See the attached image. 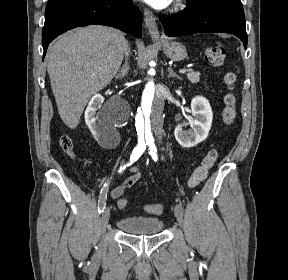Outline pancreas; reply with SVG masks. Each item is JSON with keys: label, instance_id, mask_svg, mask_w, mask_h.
<instances>
[{"label": "pancreas", "instance_id": "cf45deb5", "mask_svg": "<svg viewBox=\"0 0 288 280\" xmlns=\"http://www.w3.org/2000/svg\"><path fill=\"white\" fill-rule=\"evenodd\" d=\"M187 79L192 83H198L200 81V72H194L193 70H188Z\"/></svg>", "mask_w": 288, "mask_h": 280}]
</instances>
